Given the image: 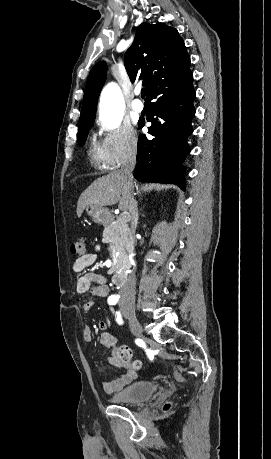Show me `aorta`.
<instances>
[{"label": "aorta", "mask_w": 271, "mask_h": 459, "mask_svg": "<svg viewBox=\"0 0 271 459\" xmlns=\"http://www.w3.org/2000/svg\"><path fill=\"white\" fill-rule=\"evenodd\" d=\"M124 110V99L121 89L116 83H109L105 86L100 97V119L102 124L114 129L122 121Z\"/></svg>", "instance_id": "obj_1"}]
</instances>
